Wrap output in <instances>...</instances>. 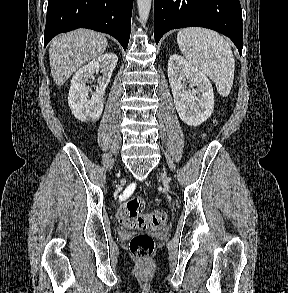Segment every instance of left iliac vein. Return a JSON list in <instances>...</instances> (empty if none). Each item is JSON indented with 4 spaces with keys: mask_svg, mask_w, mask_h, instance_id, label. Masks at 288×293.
I'll return each mask as SVG.
<instances>
[{
    "mask_svg": "<svg viewBox=\"0 0 288 293\" xmlns=\"http://www.w3.org/2000/svg\"><path fill=\"white\" fill-rule=\"evenodd\" d=\"M161 178H162V181L165 183L168 181L167 177L165 174L161 173Z\"/></svg>",
    "mask_w": 288,
    "mask_h": 293,
    "instance_id": "4c4485c4",
    "label": "left iliac vein"
}]
</instances>
